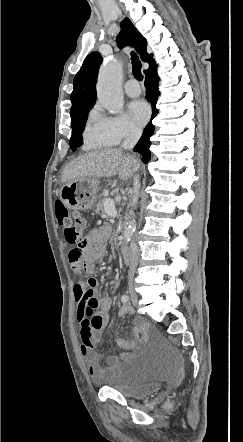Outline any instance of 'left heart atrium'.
Returning a JSON list of instances; mask_svg holds the SVG:
<instances>
[{
  "mask_svg": "<svg viewBox=\"0 0 243 442\" xmlns=\"http://www.w3.org/2000/svg\"><path fill=\"white\" fill-rule=\"evenodd\" d=\"M129 113L136 124L143 125L149 118L150 108L145 101L134 100L129 105Z\"/></svg>",
  "mask_w": 243,
  "mask_h": 442,
  "instance_id": "39dd6f15",
  "label": "left heart atrium"
}]
</instances>
